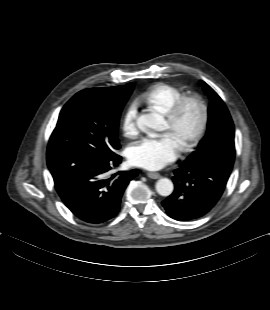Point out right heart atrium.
<instances>
[{
	"label": "right heart atrium",
	"instance_id": "d8ad5b80",
	"mask_svg": "<svg viewBox=\"0 0 270 310\" xmlns=\"http://www.w3.org/2000/svg\"><path fill=\"white\" fill-rule=\"evenodd\" d=\"M138 110L139 103L137 101H132L123 113L121 126L124 133L128 136H134L139 130Z\"/></svg>",
	"mask_w": 270,
	"mask_h": 310
}]
</instances>
